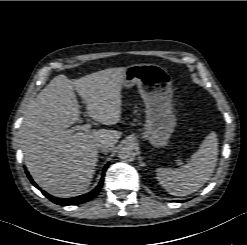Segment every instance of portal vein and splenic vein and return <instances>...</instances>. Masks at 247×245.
<instances>
[{
    "label": "portal vein and splenic vein",
    "instance_id": "1",
    "mask_svg": "<svg viewBox=\"0 0 247 245\" xmlns=\"http://www.w3.org/2000/svg\"><path fill=\"white\" fill-rule=\"evenodd\" d=\"M90 129H91V125H90V123H87V124L82 125V126L78 125V126L72 127V129H70V132L73 133V132L79 131V130H83L85 132H89ZM177 163H178V165L182 164V162L180 160H177Z\"/></svg>",
    "mask_w": 247,
    "mask_h": 245
}]
</instances>
